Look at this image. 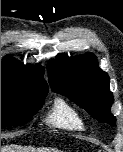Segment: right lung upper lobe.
I'll use <instances>...</instances> for the list:
<instances>
[{
  "label": "right lung upper lobe",
  "instance_id": "cb5924a9",
  "mask_svg": "<svg viewBox=\"0 0 123 152\" xmlns=\"http://www.w3.org/2000/svg\"><path fill=\"white\" fill-rule=\"evenodd\" d=\"M42 66L32 67L5 56L1 64V83L11 84L21 92L48 93V85L43 78Z\"/></svg>",
  "mask_w": 123,
  "mask_h": 152
}]
</instances>
